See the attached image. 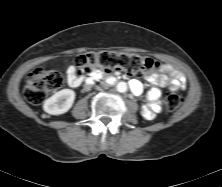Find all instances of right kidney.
I'll use <instances>...</instances> for the list:
<instances>
[{
	"mask_svg": "<svg viewBox=\"0 0 222 187\" xmlns=\"http://www.w3.org/2000/svg\"><path fill=\"white\" fill-rule=\"evenodd\" d=\"M75 92L71 89H62L46 99L43 109L50 115L66 113L73 105Z\"/></svg>",
	"mask_w": 222,
	"mask_h": 187,
	"instance_id": "ca27d5eb",
	"label": "right kidney"
}]
</instances>
